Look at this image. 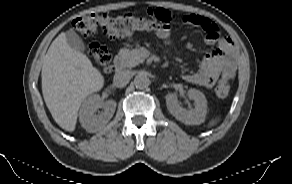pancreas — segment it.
Listing matches in <instances>:
<instances>
[{"label": "pancreas", "instance_id": "obj_1", "mask_svg": "<svg viewBox=\"0 0 292 184\" xmlns=\"http://www.w3.org/2000/svg\"><path fill=\"white\" fill-rule=\"evenodd\" d=\"M118 57L122 62L123 67L132 68L142 63L144 61V57L142 51L139 49H127L123 48L119 51Z\"/></svg>", "mask_w": 292, "mask_h": 184}]
</instances>
